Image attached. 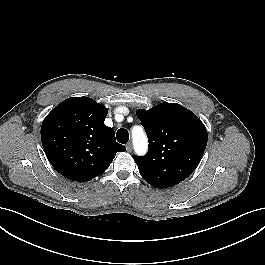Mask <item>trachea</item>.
<instances>
[{"mask_svg":"<svg viewBox=\"0 0 265 265\" xmlns=\"http://www.w3.org/2000/svg\"><path fill=\"white\" fill-rule=\"evenodd\" d=\"M117 141L122 144H126L129 140V133L126 129L121 128L117 131Z\"/></svg>","mask_w":265,"mask_h":265,"instance_id":"3493384b","label":"trachea"}]
</instances>
